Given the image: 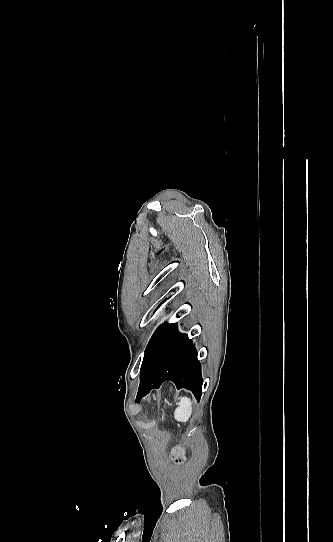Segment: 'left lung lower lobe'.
Here are the masks:
<instances>
[{"label":"left lung lower lobe","instance_id":"1","mask_svg":"<svg viewBox=\"0 0 333 542\" xmlns=\"http://www.w3.org/2000/svg\"><path fill=\"white\" fill-rule=\"evenodd\" d=\"M166 380L177 389L191 390L197 400L202 395L201 364L195 345L187 334L178 331L177 323L163 325L148 345L136 401Z\"/></svg>","mask_w":333,"mask_h":542}]
</instances>
